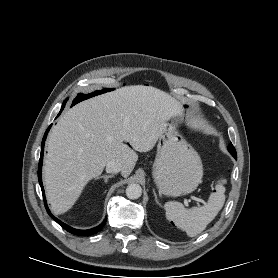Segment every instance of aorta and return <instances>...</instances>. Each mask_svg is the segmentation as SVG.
I'll list each match as a JSON object with an SVG mask.
<instances>
[{"label": "aorta", "instance_id": "aorta-1", "mask_svg": "<svg viewBox=\"0 0 278 278\" xmlns=\"http://www.w3.org/2000/svg\"><path fill=\"white\" fill-rule=\"evenodd\" d=\"M126 195L129 199H138L142 195V188L139 184H130L126 188Z\"/></svg>", "mask_w": 278, "mask_h": 278}]
</instances>
